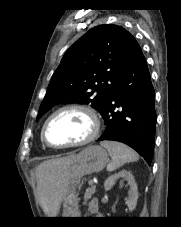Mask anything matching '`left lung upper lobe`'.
I'll return each instance as SVG.
<instances>
[{
	"instance_id": "obj_1",
	"label": "left lung upper lobe",
	"mask_w": 181,
	"mask_h": 227,
	"mask_svg": "<svg viewBox=\"0 0 181 227\" xmlns=\"http://www.w3.org/2000/svg\"><path fill=\"white\" fill-rule=\"evenodd\" d=\"M139 47L135 38L120 26L105 24L90 29L64 54L37 120L59 103H91L103 115Z\"/></svg>"
}]
</instances>
